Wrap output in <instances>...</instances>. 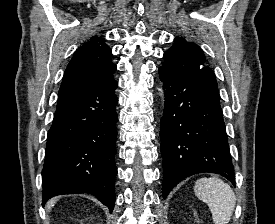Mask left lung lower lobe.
Returning <instances> with one entry per match:
<instances>
[{
  "mask_svg": "<svg viewBox=\"0 0 275 224\" xmlns=\"http://www.w3.org/2000/svg\"><path fill=\"white\" fill-rule=\"evenodd\" d=\"M159 74L166 89L160 130L163 198L196 173H216L235 185L218 89L196 77Z\"/></svg>",
  "mask_w": 275,
  "mask_h": 224,
  "instance_id": "obj_1",
  "label": "left lung lower lobe"
}]
</instances>
